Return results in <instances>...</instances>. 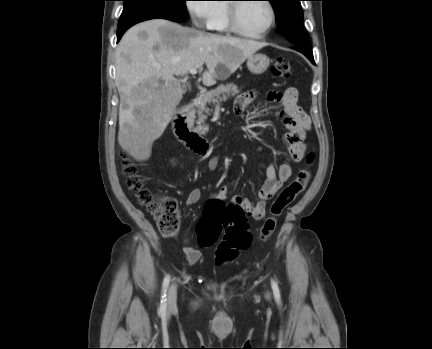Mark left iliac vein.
I'll return each mask as SVG.
<instances>
[{"label":"left iliac vein","instance_id":"left-iliac-vein-1","mask_svg":"<svg viewBox=\"0 0 432 349\" xmlns=\"http://www.w3.org/2000/svg\"><path fill=\"white\" fill-rule=\"evenodd\" d=\"M266 297L269 298V293L266 294Z\"/></svg>","mask_w":432,"mask_h":349}]
</instances>
